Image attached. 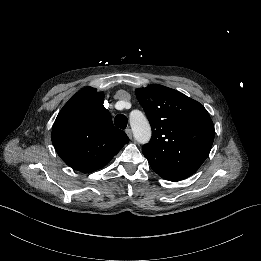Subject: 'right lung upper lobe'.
Here are the masks:
<instances>
[{"mask_svg":"<svg viewBox=\"0 0 261 261\" xmlns=\"http://www.w3.org/2000/svg\"><path fill=\"white\" fill-rule=\"evenodd\" d=\"M103 100V92L82 89L61 109L52 128L58 155L84 173L106 165L129 142L125 132L113 126Z\"/></svg>","mask_w":261,"mask_h":261,"instance_id":"1","label":"right lung upper lobe"}]
</instances>
